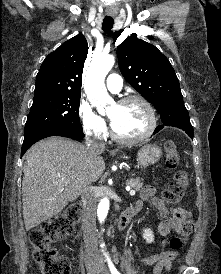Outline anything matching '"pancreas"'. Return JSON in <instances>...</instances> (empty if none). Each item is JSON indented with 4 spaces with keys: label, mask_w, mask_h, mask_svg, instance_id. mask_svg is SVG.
<instances>
[{
    "label": "pancreas",
    "mask_w": 221,
    "mask_h": 274,
    "mask_svg": "<svg viewBox=\"0 0 221 274\" xmlns=\"http://www.w3.org/2000/svg\"><path fill=\"white\" fill-rule=\"evenodd\" d=\"M126 183L135 191H140V189L143 187L142 179L140 178H131L127 180Z\"/></svg>",
    "instance_id": "1"
}]
</instances>
